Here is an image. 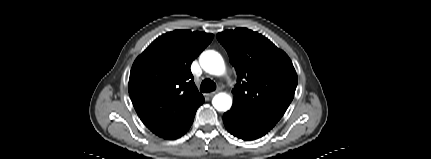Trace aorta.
I'll use <instances>...</instances> for the list:
<instances>
[{
	"mask_svg": "<svg viewBox=\"0 0 431 159\" xmlns=\"http://www.w3.org/2000/svg\"><path fill=\"white\" fill-rule=\"evenodd\" d=\"M199 62L203 70L212 75H223L225 63L222 56L214 51L208 50L200 55ZM212 104L217 111H227L232 106V98L226 93H218L214 96Z\"/></svg>",
	"mask_w": 431,
	"mask_h": 159,
	"instance_id": "aorta-1",
	"label": "aorta"
}]
</instances>
